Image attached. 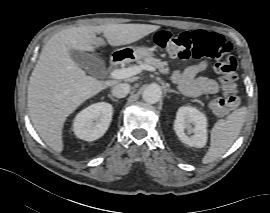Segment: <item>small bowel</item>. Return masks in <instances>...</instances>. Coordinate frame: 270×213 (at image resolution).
I'll list each match as a JSON object with an SVG mask.
<instances>
[{
    "instance_id": "obj_1",
    "label": "small bowel",
    "mask_w": 270,
    "mask_h": 213,
    "mask_svg": "<svg viewBox=\"0 0 270 213\" xmlns=\"http://www.w3.org/2000/svg\"><path fill=\"white\" fill-rule=\"evenodd\" d=\"M208 67L207 61H201L183 71H174L173 80L179 85L183 94L189 97H198L206 94H214L218 91V84L214 79L197 76V74Z\"/></svg>"
}]
</instances>
